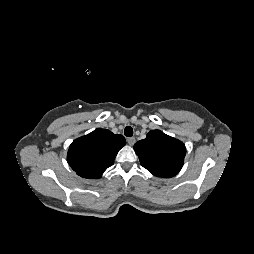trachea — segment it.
<instances>
[{
    "instance_id": "1",
    "label": "trachea",
    "mask_w": 254,
    "mask_h": 254,
    "mask_svg": "<svg viewBox=\"0 0 254 254\" xmlns=\"http://www.w3.org/2000/svg\"><path fill=\"white\" fill-rule=\"evenodd\" d=\"M124 134H125V136H127V137H131V136L133 135V129H132V127L127 126V127L124 129Z\"/></svg>"
}]
</instances>
